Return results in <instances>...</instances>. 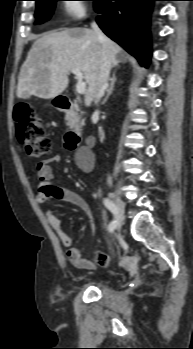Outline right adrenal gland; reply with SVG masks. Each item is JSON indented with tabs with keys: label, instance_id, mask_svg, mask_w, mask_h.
Returning a JSON list of instances; mask_svg holds the SVG:
<instances>
[{
	"label": "right adrenal gland",
	"instance_id": "1",
	"mask_svg": "<svg viewBox=\"0 0 193 349\" xmlns=\"http://www.w3.org/2000/svg\"><path fill=\"white\" fill-rule=\"evenodd\" d=\"M115 82H116V76L115 74H113L112 78L110 79V86L107 89V95L104 98L102 104H105L109 98V96L112 94V92L114 91V87H115Z\"/></svg>",
	"mask_w": 193,
	"mask_h": 349
}]
</instances>
